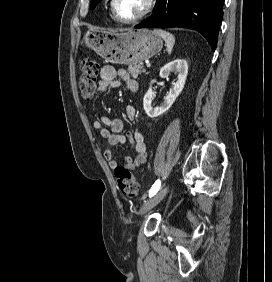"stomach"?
<instances>
[{"label":"stomach","instance_id":"0dacf381","mask_svg":"<svg viewBox=\"0 0 272 282\" xmlns=\"http://www.w3.org/2000/svg\"><path fill=\"white\" fill-rule=\"evenodd\" d=\"M83 42L106 61L136 65L161 51V38L149 29L126 31L89 30Z\"/></svg>","mask_w":272,"mask_h":282}]
</instances>
